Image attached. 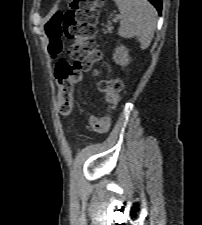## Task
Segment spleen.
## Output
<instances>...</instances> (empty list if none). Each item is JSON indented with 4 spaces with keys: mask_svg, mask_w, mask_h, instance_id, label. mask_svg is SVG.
<instances>
[{
    "mask_svg": "<svg viewBox=\"0 0 202 225\" xmlns=\"http://www.w3.org/2000/svg\"><path fill=\"white\" fill-rule=\"evenodd\" d=\"M120 13L118 35L123 38L137 37L141 49H146L154 36L157 12L147 0H114Z\"/></svg>",
    "mask_w": 202,
    "mask_h": 225,
    "instance_id": "1",
    "label": "spleen"
}]
</instances>
